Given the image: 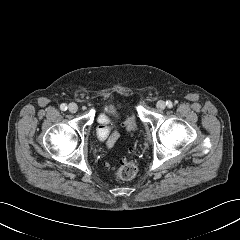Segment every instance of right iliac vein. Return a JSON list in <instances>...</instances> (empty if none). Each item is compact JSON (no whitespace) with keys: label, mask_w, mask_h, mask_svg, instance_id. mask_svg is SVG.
<instances>
[{"label":"right iliac vein","mask_w":240,"mask_h":240,"mask_svg":"<svg viewBox=\"0 0 240 240\" xmlns=\"http://www.w3.org/2000/svg\"><path fill=\"white\" fill-rule=\"evenodd\" d=\"M68 109L71 113H76L78 110V106L75 103H70Z\"/></svg>","instance_id":"right-iliac-vein-1"}]
</instances>
